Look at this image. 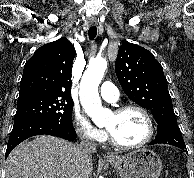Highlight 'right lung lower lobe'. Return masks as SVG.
Listing matches in <instances>:
<instances>
[{"label":"right lung lower lobe","mask_w":194,"mask_h":178,"mask_svg":"<svg viewBox=\"0 0 194 178\" xmlns=\"http://www.w3.org/2000/svg\"><path fill=\"white\" fill-rule=\"evenodd\" d=\"M42 134L61 137L69 141H74L76 139V132L73 125H58L48 121L35 119L14 122L5 158L9 155L13 148L25 139Z\"/></svg>","instance_id":"98d812e1"}]
</instances>
